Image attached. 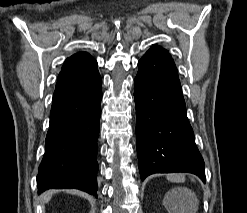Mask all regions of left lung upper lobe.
<instances>
[{
	"label": "left lung upper lobe",
	"instance_id": "left-lung-upper-lobe-1",
	"mask_svg": "<svg viewBox=\"0 0 247 213\" xmlns=\"http://www.w3.org/2000/svg\"><path fill=\"white\" fill-rule=\"evenodd\" d=\"M162 51H167L165 49H163L162 47H159V46H153L151 47L147 52L146 54H153V53H159V52H162ZM145 54V55H146Z\"/></svg>",
	"mask_w": 247,
	"mask_h": 213
}]
</instances>
